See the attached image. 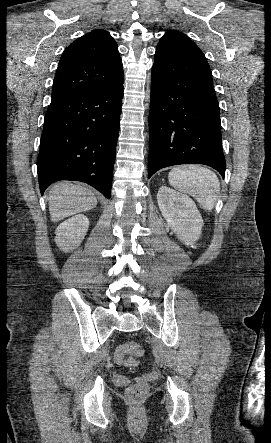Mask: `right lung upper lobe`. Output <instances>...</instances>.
Returning <instances> with one entry per match:
<instances>
[{"label":"right lung upper lobe","mask_w":271,"mask_h":443,"mask_svg":"<svg viewBox=\"0 0 271 443\" xmlns=\"http://www.w3.org/2000/svg\"><path fill=\"white\" fill-rule=\"evenodd\" d=\"M122 80L117 43L108 31L97 29L74 41L63 52L52 97L110 87Z\"/></svg>","instance_id":"right-lung-upper-lobe-1"}]
</instances>
